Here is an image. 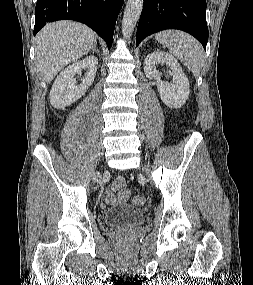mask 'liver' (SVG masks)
Instances as JSON below:
<instances>
[{
    "label": "liver",
    "mask_w": 253,
    "mask_h": 285,
    "mask_svg": "<svg viewBox=\"0 0 253 285\" xmlns=\"http://www.w3.org/2000/svg\"><path fill=\"white\" fill-rule=\"evenodd\" d=\"M96 43V33L84 24H47L35 37L37 64L44 81L50 83L61 69L87 54Z\"/></svg>",
    "instance_id": "6515ba94"
}]
</instances>
